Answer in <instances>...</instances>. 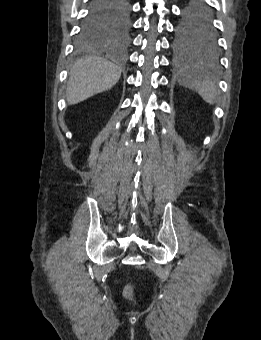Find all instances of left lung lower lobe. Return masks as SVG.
Wrapping results in <instances>:
<instances>
[{"mask_svg":"<svg viewBox=\"0 0 261 340\" xmlns=\"http://www.w3.org/2000/svg\"><path fill=\"white\" fill-rule=\"evenodd\" d=\"M202 1H203V0H202ZM192 2H193V0H192ZM192 2H191V3H192ZM203 2H204V1H203ZM204 3H205V2H204ZM205 4H206V3H205ZM206 5H207V4H206Z\"/></svg>","mask_w":261,"mask_h":340,"instance_id":"obj_1","label":"left lung lower lobe"}]
</instances>
